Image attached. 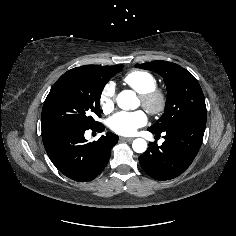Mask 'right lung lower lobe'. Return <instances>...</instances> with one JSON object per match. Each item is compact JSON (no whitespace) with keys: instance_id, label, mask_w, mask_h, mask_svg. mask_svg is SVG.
<instances>
[{"instance_id":"obj_1","label":"right lung lower lobe","mask_w":236,"mask_h":236,"mask_svg":"<svg viewBox=\"0 0 236 236\" xmlns=\"http://www.w3.org/2000/svg\"><path fill=\"white\" fill-rule=\"evenodd\" d=\"M103 124L91 128L102 132ZM88 129L65 128L42 136L46 152L56 168L68 178L87 182L96 178L107 165L112 147L119 137L113 133L102 135L98 141L87 143L84 132Z\"/></svg>"}]
</instances>
